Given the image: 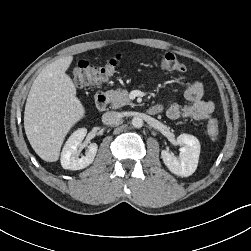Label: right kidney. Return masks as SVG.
Masks as SVG:
<instances>
[{
  "instance_id": "right-kidney-1",
  "label": "right kidney",
  "mask_w": 251,
  "mask_h": 251,
  "mask_svg": "<svg viewBox=\"0 0 251 251\" xmlns=\"http://www.w3.org/2000/svg\"><path fill=\"white\" fill-rule=\"evenodd\" d=\"M87 129L80 128L76 130L72 135L68 138L65 143V146L61 153V165L64 169L68 170H80L89 166L96 156L98 146L96 143H91L88 146L86 155L79 158L78 147L81 144L82 140L86 136Z\"/></svg>"
}]
</instances>
